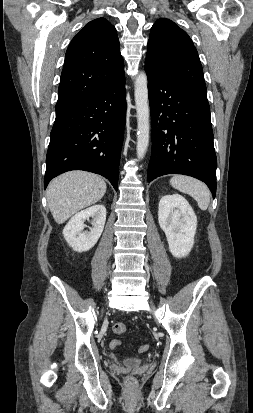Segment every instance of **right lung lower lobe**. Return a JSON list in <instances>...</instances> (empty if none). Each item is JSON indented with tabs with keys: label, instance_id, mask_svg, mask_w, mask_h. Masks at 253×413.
Returning a JSON list of instances; mask_svg holds the SVG:
<instances>
[{
	"label": "right lung lower lobe",
	"instance_id": "right-lung-lower-lobe-1",
	"mask_svg": "<svg viewBox=\"0 0 253 413\" xmlns=\"http://www.w3.org/2000/svg\"><path fill=\"white\" fill-rule=\"evenodd\" d=\"M125 119L124 74L95 95L56 110L44 187L61 173L85 170L106 177L117 190Z\"/></svg>",
	"mask_w": 253,
	"mask_h": 413
}]
</instances>
